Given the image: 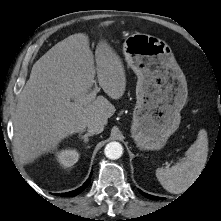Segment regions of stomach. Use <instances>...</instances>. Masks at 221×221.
Returning <instances> with one entry per match:
<instances>
[{"label": "stomach", "instance_id": "0dacf381", "mask_svg": "<svg viewBox=\"0 0 221 221\" xmlns=\"http://www.w3.org/2000/svg\"><path fill=\"white\" fill-rule=\"evenodd\" d=\"M123 54L137 75L132 138L143 150H159L179 127L187 101V82L168 44L154 36L134 33Z\"/></svg>", "mask_w": 221, "mask_h": 221}]
</instances>
